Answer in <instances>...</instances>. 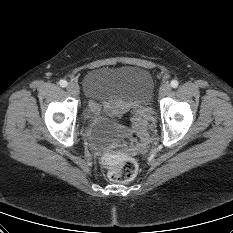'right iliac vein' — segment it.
<instances>
[{
    "instance_id": "obj_1",
    "label": "right iliac vein",
    "mask_w": 233,
    "mask_h": 233,
    "mask_svg": "<svg viewBox=\"0 0 233 233\" xmlns=\"http://www.w3.org/2000/svg\"><path fill=\"white\" fill-rule=\"evenodd\" d=\"M67 90L73 95L76 96L79 94V86L76 83H69Z\"/></svg>"
}]
</instances>
